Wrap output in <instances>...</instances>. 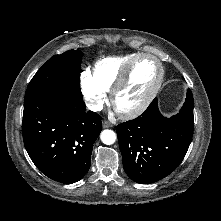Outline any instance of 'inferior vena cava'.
Wrapping results in <instances>:
<instances>
[{"label": "inferior vena cava", "instance_id": "obj_1", "mask_svg": "<svg viewBox=\"0 0 221 221\" xmlns=\"http://www.w3.org/2000/svg\"><path fill=\"white\" fill-rule=\"evenodd\" d=\"M87 107L91 111H100L103 108L101 104H87Z\"/></svg>", "mask_w": 221, "mask_h": 221}]
</instances>
